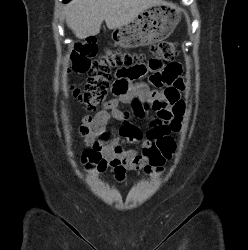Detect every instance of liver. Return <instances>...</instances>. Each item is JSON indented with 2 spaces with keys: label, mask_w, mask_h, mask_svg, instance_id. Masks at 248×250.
I'll list each match as a JSON object with an SVG mask.
<instances>
[{
  "label": "liver",
  "mask_w": 248,
  "mask_h": 250,
  "mask_svg": "<svg viewBox=\"0 0 248 250\" xmlns=\"http://www.w3.org/2000/svg\"><path fill=\"white\" fill-rule=\"evenodd\" d=\"M163 0H72L64 9L66 23L79 39L97 35L101 24L116 29L132 22L138 14Z\"/></svg>",
  "instance_id": "liver-1"
}]
</instances>
